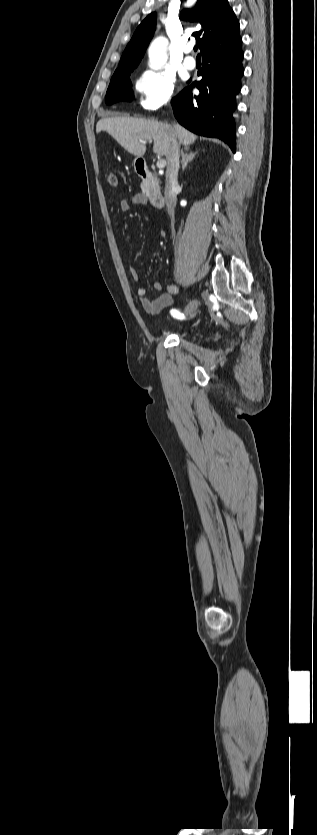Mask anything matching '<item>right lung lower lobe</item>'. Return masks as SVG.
I'll return each instance as SVG.
<instances>
[{
  "mask_svg": "<svg viewBox=\"0 0 317 835\" xmlns=\"http://www.w3.org/2000/svg\"><path fill=\"white\" fill-rule=\"evenodd\" d=\"M202 54L203 66L198 75L203 78L185 88L172 100L174 115L190 131L219 138L235 152L233 112L244 73L241 37L238 35L214 43ZM193 86L199 89L198 96L192 95Z\"/></svg>",
  "mask_w": 317,
  "mask_h": 835,
  "instance_id": "right-lung-lower-lobe-1",
  "label": "right lung lower lobe"
}]
</instances>
